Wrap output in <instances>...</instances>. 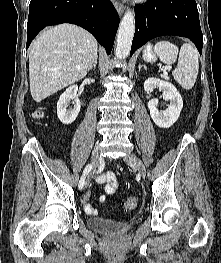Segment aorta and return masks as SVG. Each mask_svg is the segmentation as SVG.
Here are the masks:
<instances>
[{
    "instance_id": "1",
    "label": "aorta",
    "mask_w": 221,
    "mask_h": 263,
    "mask_svg": "<svg viewBox=\"0 0 221 263\" xmlns=\"http://www.w3.org/2000/svg\"><path fill=\"white\" fill-rule=\"evenodd\" d=\"M135 32L134 12L128 10L125 12L117 33L115 56L119 59H125L131 49L132 40Z\"/></svg>"
}]
</instances>
